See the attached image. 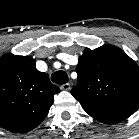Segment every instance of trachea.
<instances>
[{
    "label": "trachea",
    "instance_id": "trachea-1",
    "mask_svg": "<svg viewBox=\"0 0 139 139\" xmlns=\"http://www.w3.org/2000/svg\"><path fill=\"white\" fill-rule=\"evenodd\" d=\"M51 80L56 84H65L69 78L65 71L59 70L51 75Z\"/></svg>",
    "mask_w": 139,
    "mask_h": 139
}]
</instances>
